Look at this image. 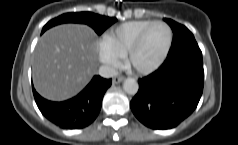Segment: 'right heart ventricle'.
I'll use <instances>...</instances> for the list:
<instances>
[{"instance_id":"obj_1","label":"right heart ventricle","mask_w":238,"mask_h":145,"mask_svg":"<svg viewBox=\"0 0 238 145\" xmlns=\"http://www.w3.org/2000/svg\"><path fill=\"white\" fill-rule=\"evenodd\" d=\"M152 22V20H133L122 23L104 33L102 43L123 58L140 32Z\"/></svg>"}]
</instances>
